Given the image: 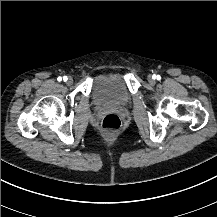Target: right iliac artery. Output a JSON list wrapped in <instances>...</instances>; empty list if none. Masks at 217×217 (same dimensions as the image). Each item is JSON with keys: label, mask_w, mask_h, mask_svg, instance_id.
Instances as JSON below:
<instances>
[{"label": "right iliac artery", "mask_w": 217, "mask_h": 217, "mask_svg": "<svg viewBox=\"0 0 217 217\" xmlns=\"http://www.w3.org/2000/svg\"><path fill=\"white\" fill-rule=\"evenodd\" d=\"M57 80H58L59 82L62 81V77H58ZM63 80L66 81V80H67V76H64V77H63Z\"/></svg>", "instance_id": "82829eb1"}]
</instances>
